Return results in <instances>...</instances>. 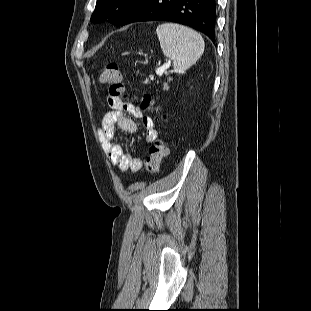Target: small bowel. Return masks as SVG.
Here are the masks:
<instances>
[{"instance_id": "small-bowel-1", "label": "small bowel", "mask_w": 311, "mask_h": 311, "mask_svg": "<svg viewBox=\"0 0 311 311\" xmlns=\"http://www.w3.org/2000/svg\"><path fill=\"white\" fill-rule=\"evenodd\" d=\"M107 104L111 110L104 115L99 128L103 147L113 166L121 171L137 172L142 169L143 161L139 157H130L123 152L122 147L115 140L116 128L134 133L137 131V125L126 113L134 118H140L145 127V141L151 143L158 137L155 120L151 116L144 115L137 106L122 98L108 96Z\"/></svg>"}]
</instances>
